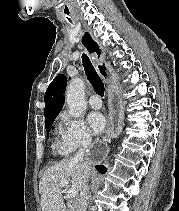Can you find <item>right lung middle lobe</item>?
<instances>
[{"label":"right lung middle lobe","instance_id":"obj_1","mask_svg":"<svg viewBox=\"0 0 179 211\" xmlns=\"http://www.w3.org/2000/svg\"><path fill=\"white\" fill-rule=\"evenodd\" d=\"M55 118L56 117H52V118L46 120L45 125H46V131H47V133H49L50 128H51V125H52L53 121L55 120Z\"/></svg>","mask_w":179,"mask_h":211}]
</instances>
